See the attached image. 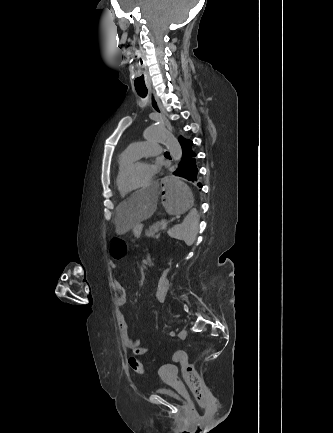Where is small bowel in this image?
Returning <instances> with one entry per match:
<instances>
[{
  "label": "small bowel",
  "instance_id": "small-bowel-1",
  "mask_svg": "<svg viewBox=\"0 0 333 433\" xmlns=\"http://www.w3.org/2000/svg\"><path fill=\"white\" fill-rule=\"evenodd\" d=\"M160 280V278H159ZM158 280V281H159ZM167 284L162 287L163 294L164 297L163 299H161L163 302L165 300L167 291L169 289V279L167 276ZM157 285L158 282H157ZM114 291L116 294V305L118 307H122L123 305H125L126 301H127V297H126V289L124 287V285L119 281V280H115L114 282ZM118 324H119V331H120V336H121V341L124 347H126L127 349H130L134 352L135 355H143L145 353H147L150 350L149 346L146 345H142V342L140 339H134L131 337L130 332H129V325L127 323V320L125 319L123 314H120L119 318H118Z\"/></svg>",
  "mask_w": 333,
  "mask_h": 433
}]
</instances>
